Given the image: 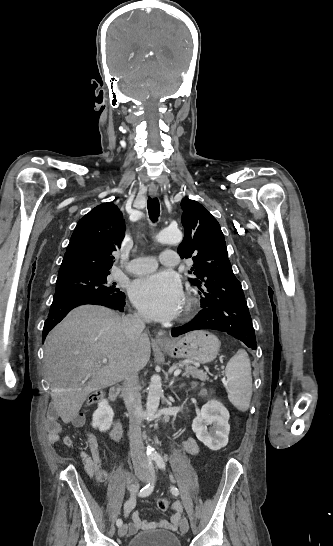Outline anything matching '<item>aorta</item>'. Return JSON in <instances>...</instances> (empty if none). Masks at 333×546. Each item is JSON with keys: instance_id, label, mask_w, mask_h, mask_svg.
<instances>
[{"instance_id": "762f6f07", "label": "aorta", "mask_w": 333, "mask_h": 546, "mask_svg": "<svg viewBox=\"0 0 333 546\" xmlns=\"http://www.w3.org/2000/svg\"><path fill=\"white\" fill-rule=\"evenodd\" d=\"M182 233L178 229H164L157 236L156 239L160 243H180L182 241ZM162 394V384L159 375H153L150 385L148 387V397L146 402V414L148 418H153L158 410L160 403V396ZM153 449L147 448V452H151Z\"/></svg>"}]
</instances>
